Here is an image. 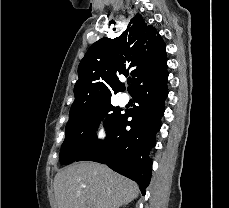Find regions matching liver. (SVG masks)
<instances>
[{
  "label": "liver",
  "instance_id": "liver-1",
  "mask_svg": "<svg viewBox=\"0 0 229 208\" xmlns=\"http://www.w3.org/2000/svg\"><path fill=\"white\" fill-rule=\"evenodd\" d=\"M58 208H120L135 200V182L97 162L71 164L54 178Z\"/></svg>",
  "mask_w": 229,
  "mask_h": 208
}]
</instances>
